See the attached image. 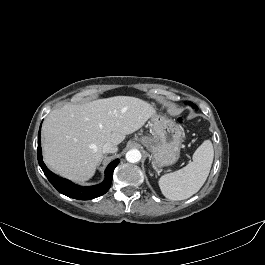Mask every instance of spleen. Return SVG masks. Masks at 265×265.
<instances>
[{
    "label": "spleen",
    "mask_w": 265,
    "mask_h": 265,
    "mask_svg": "<svg viewBox=\"0 0 265 265\" xmlns=\"http://www.w3.org/2000/svg\"><path fill=\"white\" fill-rule=\"evenodd\" d=\"M213 157V145L205 140L194 152L192 162L160 178L162 194L170 200H184L197 193L209 175Z\"/></svg>",
    "instance_id": "obj_1"
}]
</instances>
